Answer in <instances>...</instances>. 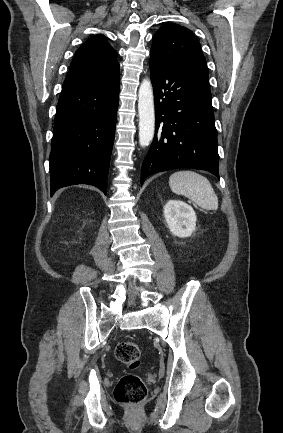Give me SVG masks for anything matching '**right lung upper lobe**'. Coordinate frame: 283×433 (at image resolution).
Masks as SVG:
<instances>
[{"mask_svg":"<svg viewBox=\"0 0 283 433\" xmlns=\"http://www.w3.org/2000/svg\"><path fill=\"white\" fill-rule=\"evenodd\" d=\"M117 52L103 35L91 37L76 51L62 92L94 87L119 76Z\"/></svg>","mask_w":283,"mask_h":433,"instance_id":"cb5924a9","label":"right lung upper lobe"}]
</instances>
